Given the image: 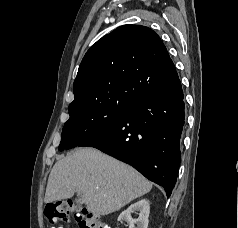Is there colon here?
<instances>
[{"label": "colon", "instance_id": "colon-1", "mask_svg": "<svg viewBox=\"0 0 238 228\" xmlns=\"http://www.w3.org/2000/svg\"><path fill=\"white\" fill-rule=\"evenodd\" d=\"M45 216L52 224L73 220L79 228H110L100 216L71 201H58L47 205Z\"/></svg>", "mask_w": 238, "mask_h": 228}]
</instances>
